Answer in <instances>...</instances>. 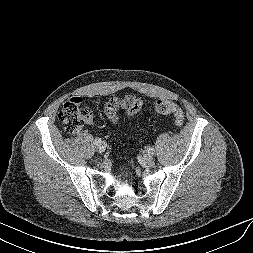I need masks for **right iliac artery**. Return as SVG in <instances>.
I'll return each mask as SVG.
<instances>
[{"instance_id":"1","label":"right iliac artery","mask_w":253,"mask_h":253,"mask_svg":"<svg viewBox=\"0 0 253 253\" xmlns=\"http://www.w3.org/2000/svg\"><path fill=\"white\" fill-rule=\"evenodd\" d=\"M102 141H101V139L100 138H96L95 139V144H100Z\"/></svg>"}]
</instances>
